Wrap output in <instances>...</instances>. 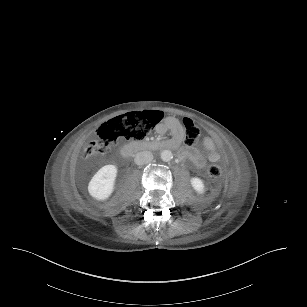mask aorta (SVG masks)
<instances>
[{"label":"aorta","mask_w":307,"mask_h":307,"mask_svg":"<svg viewBox=\"0 0 307 307\" xmlns=\"http://www.w3.org/2000/svg\"><path fill=\"white\" fill-rule=\"evenodd\" d=\"M162 161L169 162L173 159V153L171 150H163L160 155Z\"/></svg>","instance_id":"obj_1"}]
</instances>
